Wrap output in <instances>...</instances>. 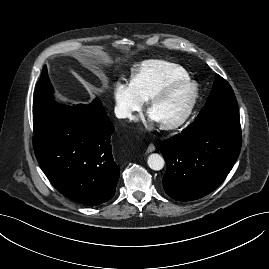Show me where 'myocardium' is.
<instances>
[{"label": "myocardium", "mask_w": 269, "mask_h": 269, "mask_svg": "<svg viewBox=\"0 0 269 269\" xmlns=\"http://www.w3.org/2000/svg\"><path fill=\"white\" fill-rule=\"evenodd\" d=\"M179 89H187L189 91L187 103L183 109L182 114L177 119L171 122L160 124V127L163 130L178 129L188 121L197 103L199 96V88L194 81L186 79L164 87L148 100L147 109L148 111H150L152 107H154L157 103H159L160 101H162L163 99H165Z\"/></svg>", "instance_id": "obj_1"}]
</instances>
